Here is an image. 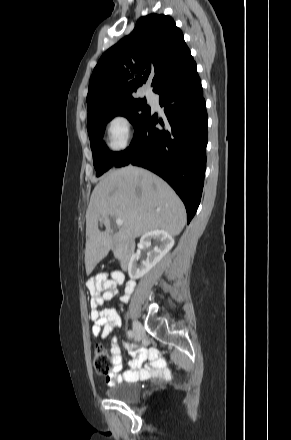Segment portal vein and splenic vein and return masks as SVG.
<instances>
[{
  "label": "portal vein and splenic vein",
  "instance_id": "portal-vein-and-splenic-vein-1",
  "mask_svg": "<svg viewBox=\"0 0 291 440\" xmlns=\"http://www.w3.org/2000/svg\"><path fill=\"white\" fill-rule=\"evenodd\" d=\"M116 224H117L118 226H122V225H123V221H122V219H116Z\"/></svg>",
  "mask_w": 291,
  "mask_h": 440
}]
</instances>
